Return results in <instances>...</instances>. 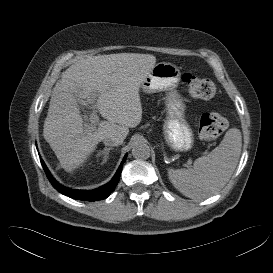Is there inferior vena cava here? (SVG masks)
I'll use <instances>...</instances> for the list:
<instances>
[{
  "mask_svg": "<svg viewBox=\"0 0 273 273\" xmlns=\"http://www.w3.org/2000/svg\"><path fill=\"white\" fill-rule=\"evenodd\" d=\"M106 146H118L122 143V141L116 137H107L103 140Z\"/></svg>",
  "mask_w": 273,
  "mask_h": 273,
  "instance_id": "obj_1",
  "label": "inferior vena cava"
}]
</instances>
